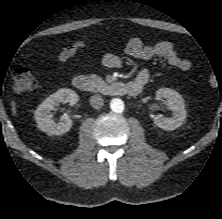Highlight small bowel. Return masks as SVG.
<instances>
[{"label":"small bowel","mask_w":222,"mask_h":219,"mask_svg":"<svg viewBox=\"0 0 222 219\" xmlns=\"http://www.w3.org/2000/svg\"><path fill=\"white\" fill-rule=\"evenodd\" d=\"M86 46L85 41H77L63 49L59 54L61 62L71 61L77 51ZM126 52L139 59L149 60L153 57H159L165 60L170 66L175 67L183 72H188L192 68V63L185 58H181L173 44L169 41H160L154 44H144L140 38L130 39L126 45ZM104 66L109 68H120L122 66L121 58L115 53H106L102 58ZM146 74L138 75L133 82L140 83L142 86L146 83Z\"/></svg>","instance_id":"1"}]
</instances>
